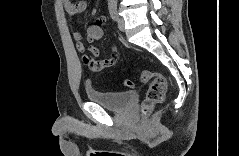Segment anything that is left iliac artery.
<instances>
[{"instance_id":"1","label":"left iliac artery","mask_w":239,"mask_h":156,"mask_svg":"<svg viewBox=\"0 0 239 156\" xmlns=\"http://www.w3.org/2000/svg\"><path fill=\"white\" fill-rule=\"evenodd\" d=\"M109 13L113 20L118 19V13H117V3L116 2H110L109 5Z\"/></svg>"}]
</instances>
